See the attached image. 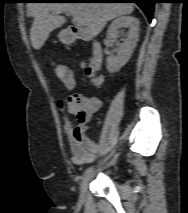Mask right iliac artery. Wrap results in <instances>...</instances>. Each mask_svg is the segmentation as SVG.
Returning a JSON list of instances; mask_svg holds the SVG:
<instances>
[{
	"instance_id": "1",
	"label": "right iliac artery",
	"mask_w": 188,
	"mask_h": 213,
	"mask_svg": "<svg viewBox=\"0 0 188 213\" xmlns=\"http://www.w3.org/2000/svg\"><path fill=\"white\" fill-rule=\"evenodd\" d=\"M109 158V157H107ZM107 160V159H106ZM93 171V167H89L88 169L85 170L84 172V176H87L88 174H90Z\"/></svg>"
}]
</instances>
